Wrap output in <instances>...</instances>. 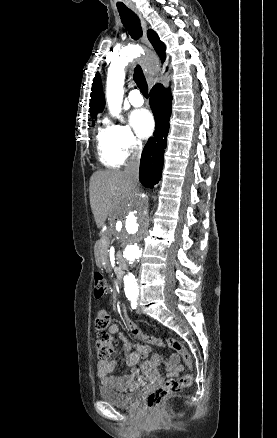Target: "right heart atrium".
Listing matches in <instances>:
<instances>
[{
  "label": "right heart atrium",
  "instance_id": "d8ad5b80",
  "mask_svg": "<svg viewBox=\"0 0 277 438\" xmlns=\"http://www.w3.org/2000/svg\"><path fill=\"white\" fill-rule=\"evenodd\" d=\"M111 127L116 149L123 160L135 156L141 151V142L128 126L111 125Z\"/></svg>",
  "mask_w": 277,
  "mask_h": 438
}]
</instances>
